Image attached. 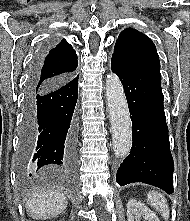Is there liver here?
Returning <instances> with one entry per match:
<instances>
[{
	"label": "liver",
	"instance_id": "obj_1",
	"mask_svg": "<svg viewBox=\"0 0 190 221\" xmlns=\"http://www.w3.org/2000/svg\"><path fill=\"white\" fill-rule=\"evenodd\" d=\"M67 198L56 190L38 191L26 201L29 216L34 219H48L61 214L67 207Z\"/></svg>",
	"mask_w": 190,
	"mask_h": 221
}]
</instances>
